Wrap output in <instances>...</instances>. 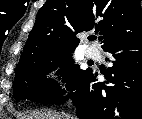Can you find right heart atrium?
Masks as SVG:
<instances>
[{
    "instance_id": "obj_1",
    "label": "right heart atrium",
    "mask_w": 142,
    "mask_h": 119,
    "mask_svg": "<svg viewBox=\"0 0 142 119\" xmlns=\"http://www.w3.org/2000/svg\"><path fill=\"white\" fill-rule=\"evenodd\" d=\"M46 80L55 85V86H59L60 88H63V84L60 82L58 74L55 70H51L47 76H46Z\"/></svg>"
}]
</instances>
